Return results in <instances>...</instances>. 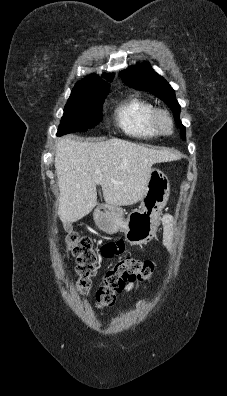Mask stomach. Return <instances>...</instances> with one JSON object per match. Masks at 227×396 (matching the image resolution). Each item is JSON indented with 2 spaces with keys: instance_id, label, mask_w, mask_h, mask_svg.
Masks as SVG:
<instances>
[{
  "instance_id": "1",
  "label": "stomach",
  "mask_w": 227,
  "mask_h": 396,
  "mask_svg": "<svg viewBox=\"0 0 227 396\" xmlns=\"http://www.w3.org/2000/svg\"><path fill=\"white\" fill-rule=\"evenodd\" d=\"M169 193L168 177L158 168H151L140 200L141 209L125 217L121 207L102 204L94 210L95 224L108 234L123 231L126 240L132 245L146 244L157 232L160 211L166 205Z\"/></svg>"
}]
</instances>
